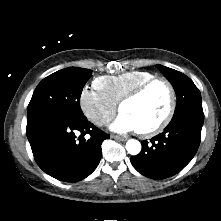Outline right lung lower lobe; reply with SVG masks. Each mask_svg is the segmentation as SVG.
I'll return each mask as SVG.
<instances>
[{
	"instance_id": "98d812e1",
	"label": "right lung lower lobe",
	"mask_w": 221,
	"mask_h": 221,
	"mask_svg": "<svg viewBox=\"0 0 221 221\" xmlns=\"http://www.w3.org/2000/svg\"><path fill=\"white\" fill-rule=\"evenodd\" d=\"M26 134L38 166L64 182L89 176L100 162L102 142L110 138L84 115L67 113L27 120Z\"/></svg>"
}]
</instances>
